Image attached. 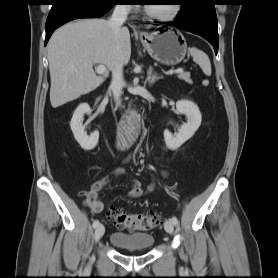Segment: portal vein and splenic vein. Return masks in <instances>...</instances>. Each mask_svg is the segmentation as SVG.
Listing matches in <instances>:
<instances>
[{"label":"portal vein and splenic vein","mask_w":278,"mask_h":278,"mask_svg":"<svg viewBox=\"0 0 278 278\" xmlns=\"http://www.w3.org/2000/svg\"><path fill=\"white\" fill-rule=\"evenodd\" d=\"M96 72L98 74H107L108 71L106 69V67L104 65H98L96 67ZM183 72V68H178V69H175V70H170L167 72V75H172L174 73H182Z\"/></svg>","instance_id":"obj_1"}]
</instances>
